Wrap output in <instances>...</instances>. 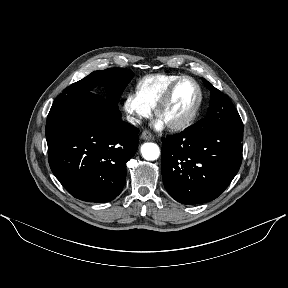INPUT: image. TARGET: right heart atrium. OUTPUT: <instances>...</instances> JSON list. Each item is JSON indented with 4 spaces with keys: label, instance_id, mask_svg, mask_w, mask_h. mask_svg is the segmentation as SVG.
<instances>
[{
    "label": "right heart atrium",
    "instance_id": "obj_1",
    "mask_svg": "<svg viewBox=\"0 0 288 288\" xmlns=\"http://www.w3.org/2000/svg\"><path fill=\"white\" fill-rule=\"evenodd\" d=\"M123 109L132 123H139L142 119L148 118L152 113V109L145 105L136 93H128L125 96Z\"/></svg>",
    "mask_w": 288,
    "mask_h": 288
}]
</instances>
